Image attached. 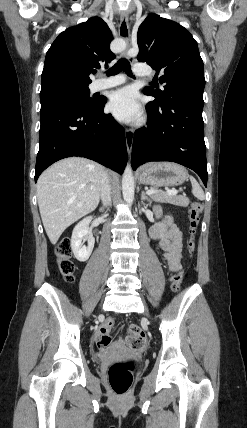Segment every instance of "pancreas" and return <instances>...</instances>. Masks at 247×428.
I'll return each mask as SVG.
<instances>
[{
	"mask_svg": "<svg viewBox=\"0 0 247 428\" xmlns=\"http://www.w3.org/2000/svg\"><path fill=\"white\" fill-rule=\"evenodd\" d=\"M151 189L156 191V193L151 195V198L157 202L170 203L181 207H187L189 205L190 201L185 196L168 195L166 192L156 187H152Z\"/></svg>",
	"mask_w": 247,
	"mask_h": 428,
	"instance_id": "obj_1",
	"label": "pancreas"
}]
</instances>
